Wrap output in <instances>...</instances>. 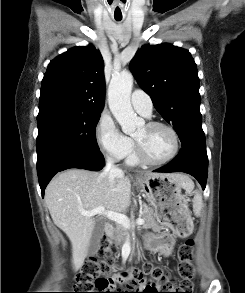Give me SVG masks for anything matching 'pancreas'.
<instances>
[{"label":"pancreas","mask_w":245,"mask_h":293,"mask_svg":"<svg viewBox=\"0 0 245 293\" xmlns=\"http://www.w3.org/2000/svg\"><path fill=\"white\" fill-rule=\"evenodd\" d=\"M139 216L145 221L142 226L143 229L152 228L154 230H159L161 228L155 220L153 209L149 207L144 208ZM128 234V229L117 223L109 238L116 246H120L125 242Z\"/></svg>","instance_id":"1"}]
</instances>
